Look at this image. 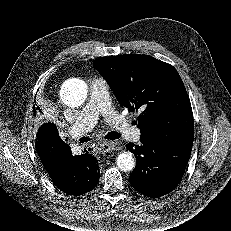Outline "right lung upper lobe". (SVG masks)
<instances>
[{
    "mask_svg": "<svg viewBox=\"0 0 231 231\" xmlns=\"http://www.w3.org/2000/svg\"><path fill=\"white\" fill-rule=\"evenodd\" d=\"M34 109H35V111H34V112L38 114V113H39V111H40V108L37 106L36 108L34 107ZM35 115H36V114H35ZM46 124H49V123H45L44 125H46Z\"/></svg>",
    "mask_w": 231,
    "mask_h": 231,
    "instance_id": "obj_1",
    "label": "right lung upper lobe"
}]
</instances>
